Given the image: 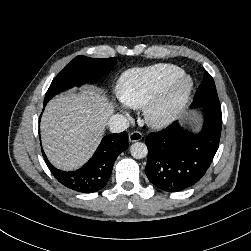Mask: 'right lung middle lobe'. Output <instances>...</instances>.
I'll return each instance as SVG.
<instances>
[{
	"label": "right lung middle lobe",
	"mask_w": 251,
	"mask_h": 251,
	"mask_svg": "<svg viewBox=\"0 0 251 251\" xmlns=\"http://www.w3.org/2000/svg\"><path fill=\"white\" fill-rule=\"evenodd\" d=\"M116 63L111 58H90L79 55L75 57L65 68L53 79L44 98V106L59 92L74 86H81L90 79L107 75Z\"/></svg>",
	"instance_id": "1"
}]
</instances>
